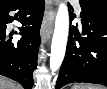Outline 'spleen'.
I'll return each instance as SVG.
<instances>
[{
    "mask_svg": "<svg viewBox=\"0 0 107 89\" xmlns=\"http://www.w3.org/2000/svg\"><path fill=\"white\" fill-rule=\"evenodd\" d=\"M72 89H103L102 86L75 84Z\"/></svg>",
    "mask_w": 107,
    "mask_h": 89,
    "instance_id": "1",
    "label": "spleen"
}]
</instances>
